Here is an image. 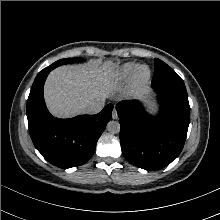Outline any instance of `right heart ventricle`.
Masks as SVG:
<instances>
[{
    "label": "right heart ventricle",
    "instance_id": "1",
    "mask_svg": "<svg viewBox=\"0 0 220 220\" xmlns=\"http://www.w3.org/2000/svg\"><path fill=\"white\" fill-rule=\"evenodd\" d=\"M136 69H137V66L132 63L123 65L118 72V78L120 80H126L134 74Z\"/></svg>",
    "mask_w": 220,
    "mask_h": 220
}]
</instances>
